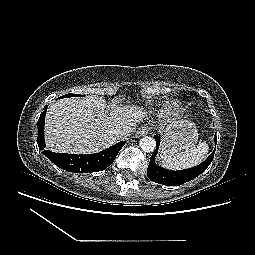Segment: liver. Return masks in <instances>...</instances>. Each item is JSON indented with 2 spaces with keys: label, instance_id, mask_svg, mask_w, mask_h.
Wrapping results in <instances>:
<instances>
[{
  "label": "liver",
  "instance_id": "obj_1",
  "mask_svg": "<svg viewBox=\"0 0 255 255\" xmlns=\"http://www.w3.org/2000/svg\"><path fill=\"white\" fill-rule=\"evenodd\" d=\"M146 114L136 105L108 106L97 95L61 99L46 114L47 148L76 154L99 152L117 142L116 128L128 127L132 133Z\"/></svg>",
  "mask_w": 255,
  "mask_h": 255
}]
</instances>
